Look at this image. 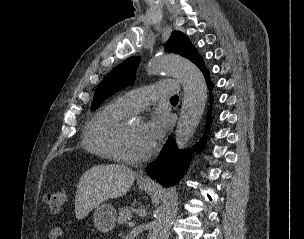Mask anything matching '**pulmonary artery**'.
<instances>
[{
	"instance_id": "1",
	"label": "pulmonary artery",
	"mask_w": 304,
	"mask_h": 239,
	"mask_svg": "<svg viewBox=\"0 0 304 239\" xmlns=\"http://www.w3.org/2000/svg\"><path fill=\"white\" fill-rule=\"evenodd\" d=\"M178 85L173 81H162L142 88L130 90L120 97L133 111H140L158 98L173 96Z\"/></svg>"
}]
</instances>
